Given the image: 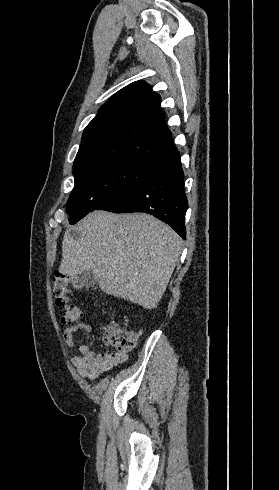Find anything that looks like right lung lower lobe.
Instances as JSON below:
<instances>
[{
    "label": "right lung lower lobe",
    "mask_w": 279,
    "mask_h": 490,
    "mask_svg": "<svg viewBox=\"0 0 279 490\" xmlns=\"http://www.w3.org/2000/svg\"><path fill=\"white\" fill-rule=\"evenodd\" d=\"M188 201L177 149L161 158L149 174L110 194L96 208L114 213L145 212L170 225L182 238Z\"/></svg>",
    "instance_id": "obj_1"
}]
</instances>
